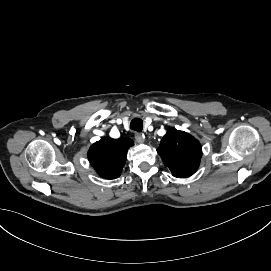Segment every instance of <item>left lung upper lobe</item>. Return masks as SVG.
Returning a JSON list of instances; mask_svg holds the SVG:
<instances>
[{
  "label": "left lung upper lobe",
  "mask_w": 271,
  "mask_h": 271,
  "mask_svg": "<svg viewBox=\"0 0 271 271\" xmlns=\"http://www.w3.org/2000/svg\"><path fill=\"white\" fill-rule=\"evenodd\" d=\"M173 176L189 177L196 172L202 156L201 145L190 134L171 127L157 149Z\"/></svg>",
  "instance_id": "left-lung-upper-lobe-1"
}]
</instances>
